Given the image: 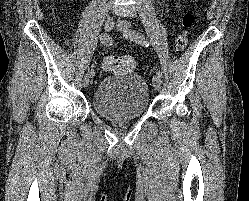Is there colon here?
I'll use <instances>...</instances> for the list:
<instances>
[{
	"instance_id": "colon-1",
	"label": "colon",
	"mask_w": 249,
	"mask_h": 201,
	"mask_svg": "<svg viewBox=\"0 0 249 201\" xmlns=\"http://www.w3.org/2000/svg\"><path fill=\"white\" fill-rule=\"evenodd\" d=\"M194 14L190 11L184 13L182 17V25L184 30L177 36L174 42V47L176 51H182L188 44L189 41V30L194 24ZM104 66L107 70L117 73V74H128L135 66L132 57L127 55H113L105 60Z\"/></svg>"
}]
</instances>
